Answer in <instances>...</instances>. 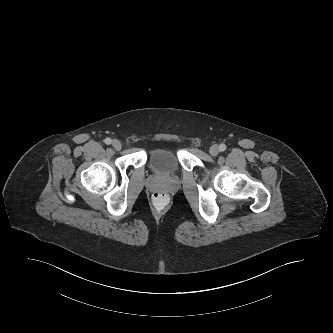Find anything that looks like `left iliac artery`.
<instances>
[{
    "mask_svg": "<svg viewBox=\"0 0 333 333\" xmlns=\"http://www.w3.org/2000/svg\"><path fill=\"white\" fill-rule=\"evenodd\" d=\"M219 149H220V151H225L226 150V145L225 144H221L219 146Z\"/></svg>",
    "mask_w": 333,
    "mask_h": 333,
    "instance_id": "44dca946",
    "label": "left iliac artery"
}]
</instances>
